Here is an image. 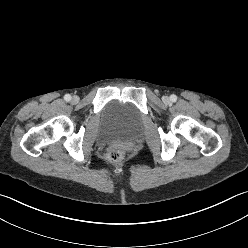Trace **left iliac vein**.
I'll return each instance as SVG.
<instances>
[{
    "instance_id": "left-iliac-vein-1",
    "label": "left iliac vein",
    "mask_w": 248,
    "mask_h": 248,
    "mask_svg": "<svg viewBox=\"0 0 248 248\" xmlns=\"http://www.w3.org/2000/svg\"><path fill=\"white\" fill-rule=\"evenodd\" d=\"M162 100L166 104H168L170 102V98L168 96H164Z\"/></svg>"
}]
</instances>
